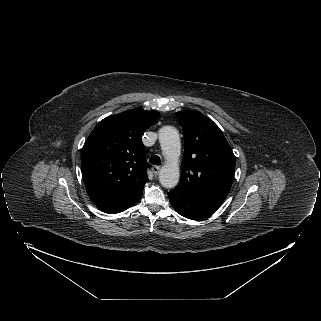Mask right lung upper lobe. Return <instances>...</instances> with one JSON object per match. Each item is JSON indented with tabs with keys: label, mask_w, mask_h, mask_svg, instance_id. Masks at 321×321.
Returning a JSON list of instances; mask_svg holds the SVG:
<instances>
[{
	"label": "right lung upper lobe",
	"mask_w": 321,
	"mask_h": 321,
	"mask_svg": "<svg viewBox=\"0 0 321 321\" xmlns=\"http://www.w3.org/2000/svg\"><path fill=\"white\" fill-rule=\"evenodd\" d=\"M158 116L155 110L139 108L108 116L85 141L81 152L82 175L101 211L119 213L141 198L148 181L141 135Z\"/></svg>",
	"instance_id": "cb5924a9"
}]
</instances>
